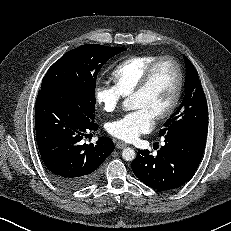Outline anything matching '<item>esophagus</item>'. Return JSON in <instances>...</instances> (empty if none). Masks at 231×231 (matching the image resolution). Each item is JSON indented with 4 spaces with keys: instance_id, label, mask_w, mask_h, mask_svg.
<instances>
[{
    "instance_id": "1",
    "label": "esophagus",
    "mask_w": 231,
    "mask_h": 231,
    "mask_svg": "<svg viewBox=\"0 0 231 231\" xmlns=\"http://www.w3.org/2000/svg\"><path fill=\"white\" fill-rule=\"evenodd\" d=\"M128 145L126 144V143H124V142H121V141H118L117 143H116V148L117 149H123V148H125V147H127Z\"/></svg>"
}]
</instances>
